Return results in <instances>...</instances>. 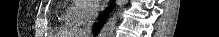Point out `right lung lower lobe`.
<instances>
[{
    "label": "right lung lower lobe",
    "mask_w": 219,
    "mask_h": 37,
    "mask_svg": "<svg viewBox=\"0 0 219 37\" xmlns=\"http://www.w3.org/2000/svg\"><path fill=\"white\" fill-rule=\"evenodd\" d=\"M112 6H113V4H111V7L106 10V13H107V14H108L109 11L111 10ZM105 20H106V16L103 18V20H102L98 25H95V26H94V28H93V33H94L95 35L99 32V30H100V28H101V26H102V24L104 23Z\"/></svg>",
    "instance_id": "right-lung-lower-lobe-1"
}]
</instances>
